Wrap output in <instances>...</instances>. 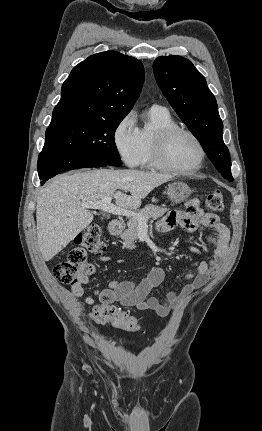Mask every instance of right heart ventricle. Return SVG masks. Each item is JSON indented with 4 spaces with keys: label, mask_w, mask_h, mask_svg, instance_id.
Masks as SVG:
<instances>
[{
    "label": "right heart ventricle",
    "mask_w": 262,
    "mask_h": 431,
    "mask_svg": "<svg viewBox=\"0 0 262 431\" xmlns=\"http://www.w3.org/2000/svg\"><path fill=\"white\" fill-rule=\"evenodd\" d=\"M148 117L150 126L139 129L141 142L139 165L145 168H157L153 157L154 135L159 129L175 126L176 124L168 111L150 108Z\"/></svg>",
    "instance_id": "right-heart-ventricle-1"
}]
</instances>
